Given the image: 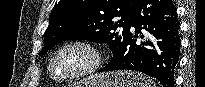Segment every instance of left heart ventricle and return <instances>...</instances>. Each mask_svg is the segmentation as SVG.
Returning <instances> with one entry per match:
<instances>
[{"label":"left heart ventricle","mask_w":205,"mask_h":87,"mask_svg":"<svg viewBox=\"0 0 205 87\" xmlns=\"http://www.w3.org/2000/svg\"><path fill=\"white\" fill-rule=\"evenodd\" d=\"M90 61L89 54L80 48L61 52L54 61L53 70L57 77H63L85 67Z\"/></svg>","instance_id":"left-heart-ventricle-1"}]
</instances>
